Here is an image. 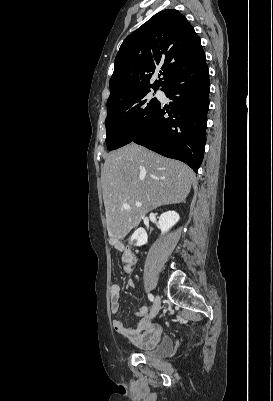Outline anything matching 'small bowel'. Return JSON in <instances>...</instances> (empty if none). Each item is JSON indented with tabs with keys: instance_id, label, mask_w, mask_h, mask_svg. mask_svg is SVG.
<instances>
[{
	"instance_id": "small-bowel-1",
	"label": "small bowel",
	"mask_w": 273,
	"mask_h": 401,
	"mask_svg": "<svg viewBox=\"0 0 273 401\" xmlns=\"http://www.w3.org/2000/svg\"><path fill=\"white\" fill-rule=\"evenodd\" d=\"M112 246L120 253V258L125 273H131L136 264V256L133 251L121 241H113ZM130 287L134 282H128ZM110 311L113 315L121 312L120 285L113 283L110 286ZM139 322L132 327H127L120 319L112 321L113 329L130 343L145 349L154 348L162 338V329L148 314L147 306H141L135 313Z\"/></svg>"
}]
</instances>
